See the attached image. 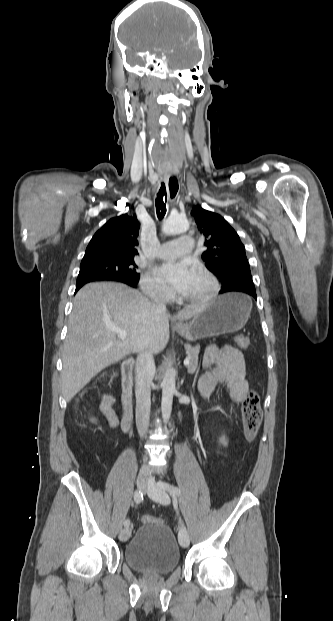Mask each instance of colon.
Segmentation results:
<instances>
[{
  "instance_id": "1",
  "label": "colon",
  "mask_w": 333,
  "mask_h": 621,
  "mask_svg": "<svg viewBox=\"0 0 333 621\" xmlns=\"http://www.w3.org/2000/svg\"><path fill=\"white\" fill-rule=\"evenodd\" d=\"M236 344L240 348H247L249 346V340L245 336H238L236 338ZM242 418L245 435L248 440H252L257 434L262 421L260 397L257 392L249 391L245 396L242 403ZM142 522L153 523L162 521L153 516L145 515L142 518Z\"/></svg>"
}]
</instances>
